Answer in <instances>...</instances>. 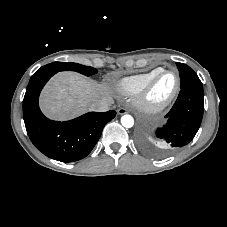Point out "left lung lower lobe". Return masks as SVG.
I'll return each instance as SVG.
<instances>
[{
    "label": "left lung lower lobe",
    "instance_id": "1",
    "mask_svg": "<svg viewBox=\"0 0 227 227\" xmlns=\"http://www.w3.org/2000/svg\"><path fill=\"white\" fill-rule=\"evenodd\" d=\"M203 90L194 87L181 88L176 102L165 115L166 121L155 130L154 139L140 133L139 145L153 154H168L187 145L197 133L203 116Z\"/></svg>",
    "mask_w": 227,
    "mask_h": 227
}]
</instances>
